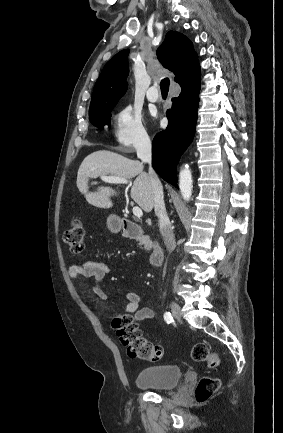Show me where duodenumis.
<instances>
[{
  "mask_svg": "<svg viewBox=\"0 0 283 433\" xmlns=\"http://www.w3.org/2000/svg\"><path fill=\"white\" fill-rule=\"evenodd\" d=\"M122 229L124 234L132 239H136L140 241L141 243L148 245L149 244V238L145 234L144 230L135 222L130 220H124L122 222ZM164 259V251L160 246H153L152 252L150 255V263L153 266H160Z\"/></svg>",
  "mask_w": 283,
  "mask_h": 433,
  "instance_id": "410a0bca",
  "label": "duodenum"
}]
</instances>
